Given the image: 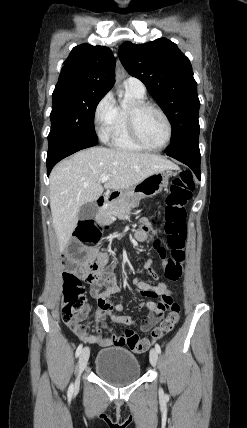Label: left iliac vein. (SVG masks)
Here are the masks:
<instances>
[{
    "label": "left iliac vein",
    "instance_id": "4c4485c4",
    "mask_svg": "<svg viewBox=\"0 0 247 428\" xmlns=\"http://www.w3.org/2000/svg\"><path fill=\"white\" fill-rule=\"evenodd\" d=\"M158 362V353L156 351V349L152 348L150 350V363L152 366H156Z\"/></svg>",
    "mask_w": 247,
    "mask_h": 428
}]
</instances>
